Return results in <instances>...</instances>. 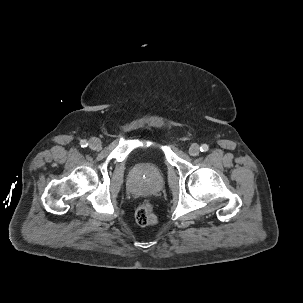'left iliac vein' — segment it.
<instances>
[{"mask_svg":"<svg viewBox=\"0 0 303 303\" xmlns=\"http://www.w3.org/2000/svg\"><path fill=\"white\" fill-rule=\"evenodd\" d=\"M200 152V148L198 144H192L189 148V154L191 156H197Z\"/></svg>","mask_w":303,"mask_h":303,"instance_id":"left-iliac-vein-1","label":"left iliac vein"}]
</instances>
